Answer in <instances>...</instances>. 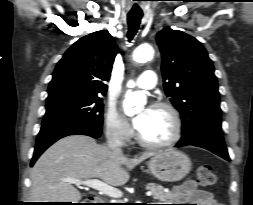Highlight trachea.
Returning a JSON list of instances; mask_svg holds the SVG:
<instances>
[{
  "label": "trachea",
  "mask_w": 253,
  "mask_h": 205,
  "mask_svg": "<svg viewBox=\"0 0 253 205\" xmlns=\"http://www.w3.org/2000/svg\"><path fill=\"white\" fill-rule=\"evenodd\" d=\"M142 18V13H129L128 14V40L131 41L133 39V37L136 35L138 29H139V25H140V21Z\"/></svg>",
  "instance_id": "trachea-1"
}]
</instances>
